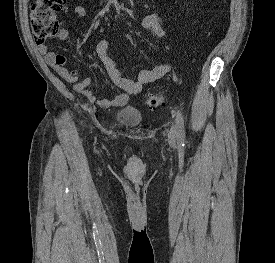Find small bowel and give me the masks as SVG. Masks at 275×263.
<instances>
[{"label": "small bowel", "instance_id": "small-bowel-1", "mask_svg": "<svg viewBox=\"0 0 275 263\" xmlns=\"http://www.w3.org/2000/svg\"><path fill=\"white\" fill-rule=\"evenodd\" d=\"M75 14L81 18L86 16V8L82 5H76L73 8ZM142 28L152 31L160 38H166L167 33L164 29L159 16L156 14H146L140 20ZM58 37L62 40L68 37L65 30H61ZM37 49L44 55L45 61L62 77L65 81L72 83L76 92L83 95L88 101L105 109L125 106L130 97L142 92L146 84L152 83L163 78L172 71V64L167 61H160L152 69H143L139 72L136 80L126 77L123 71L117 68L113 59L108 55L109 42L107 39H100L96 44V54L101 60L104 69L109 75L114 85L121 88L122 92L114 98L95 97L88 87L92 83V78L87 77L79 80L78 72L75 69L65 67L67 59L63 54L49 51L47 45L41 44Z\"/></svg>", "mask_w": 275, "mask_h": 263}]
</instances>
